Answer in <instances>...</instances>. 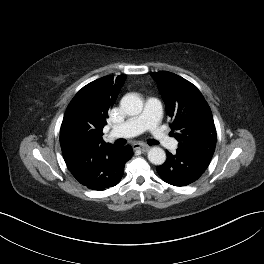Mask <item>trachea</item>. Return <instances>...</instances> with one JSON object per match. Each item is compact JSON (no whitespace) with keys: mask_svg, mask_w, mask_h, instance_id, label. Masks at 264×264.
<instances>
[{"mask_svg":"<svg viewBox=\"0 0 264 264\" xmlns=\"http://www.w3.org/2000/svg\"><path fill=\"white\" fill-rule=\"evenodd\" d=\"M148 144H149V145H156V144H159V142L156 141V140H154V139H150V140L148 141Z\"/></svg>","mask_w":264,"mask_h":264,"instance_id":"1","label":"trachea"}]
</instances>
